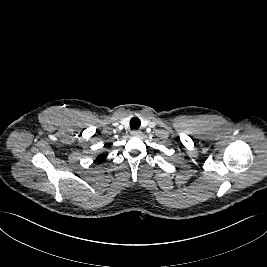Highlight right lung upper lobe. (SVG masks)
<instances>
[{
  "label": "right lung upper lobe",
  "mask_w": 267,
  "mask_h": 267,
  "mask_svg": "<svg viewBox=\"0 0 267 267\" xmlns=\"http://www.w3.org/2000/svg\"><path fill=\"white\" fill-rule=\"evenodd\" d=\"M106 156H107L106 154H101V155H99V156L97 157L96 161H97L98 163H102L103 161H105Z\"/></svg>",
  "instance_id": "obj_1"
}]
</instances>
